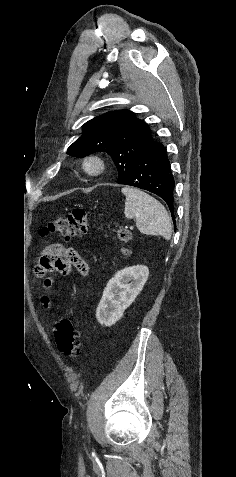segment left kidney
<instances>
[{
    "instance_id": "5707ae66",
    "label": "left kidney",
    "mask_w": 236,
    "mask_h": 477,
    "mask_svg": "<svg viewBox=\"0 0 236 477\" xmlns=\"http://www.w3.org/2000/svg\"><path fill=\"white\" fill-rule=\"evenodd\" d=\"M149 276L147 266L137 265L118 271L109 280L96 310L98 322L106 327L114 325L143 289Z\"/></svg>"
}]
</instances>
